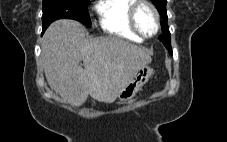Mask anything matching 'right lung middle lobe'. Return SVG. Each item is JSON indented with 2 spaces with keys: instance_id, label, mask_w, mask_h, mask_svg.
Returning a JSON list of instances; mask_svg holds the SVG:
<instances>
[{
  "instance_id": "1",
  "label": "right lung middle lobe",
  "mask_w": 227,
  "mask_h": 142,
  "mask_svg": "<svg viewBox=\"0 0 227 142\" xmlns=\"http://www.w3.org/2000/svg\"><path fill=\"white\" fill-rule=\"evenodd\" d=\"M89 0H43V32L57 19H73L90 26Z\"/></svg>"
}]
</instances>
